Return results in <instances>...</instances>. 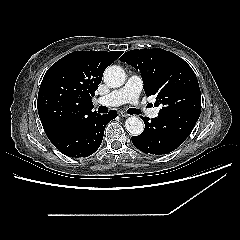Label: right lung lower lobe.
Masks as SVG:
<instances>
[{
    "label": "right lung lower lobe",
    "mask_w": 240,
    "mask_h": 240,
    "mask_svg": "<svg viewBox=\"0 0 240 240\" xmlns=\"http://www.w3.org/2000/svg\"><path fill=\"white\" fill-rule=\"evenodd\" d=\"M116 117L117 112L112 110L104 115L93 114L49 140L66 156L87 157L99 148L107 123Z\"/></svg>",
    "instance_id": "right-lung-lower-lobe-1"
}]
</instances>
